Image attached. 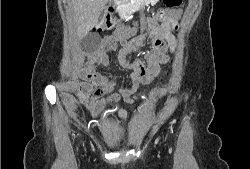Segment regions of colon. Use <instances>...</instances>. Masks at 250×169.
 <instances>
[{"instance_id": "obj_1", "label": "colon", "mask_w": 250, "mask_h": 169, "mask_svg": "<svg viewBox=\"0 0 250 169\" xmlns=\"http://www.w3.org/2000/svg\"><path fill=\"white\" fill-rule=\"evenodd\" d=\"M162 3H166V6L169 8H174V7H178L181 5L182 1L181 0H162ZM114 27V21L111 17V15H108L106 22L97 27L94 28L93 31L97 32V33H101L104 31H110L112 30ZM150 40L153 43H156V48L159 51H164L167 48V43L164 40H161V35L160 33H158V30L156 29L155 32L151 33L150 35Z\"/></svg>"}]
</instances>
